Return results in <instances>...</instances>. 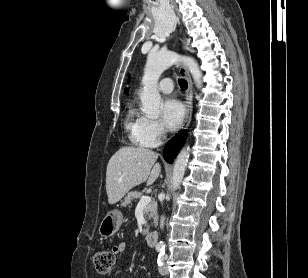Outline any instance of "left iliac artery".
Instances as JSON below:
<instances>
[{"mask_svg": "<svg viewBox=\"0 0 308 278\" xmlns=\"http://www.w3.org/2000/svg\"><path fill=\"white\" fill-rule=\"evenodd\" d=\"M164 258H165V251L162 250L158 255V259H157L158 266L163 265Z\"/></svg>", "mask_w": 308, "mask_h": 278, "instance_id": "1", "label": "left iliac artery"}]
</instances>
